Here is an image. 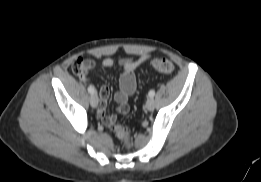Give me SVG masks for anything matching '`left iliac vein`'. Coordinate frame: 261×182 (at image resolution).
<instances>
[{"label":"left iliac vein","mask_w":261,"mask_h":182,"mask_svg":"<svg viewBox=\"0 0 261 182\" xmlns=\"http://www.w3.org/2000/svg\"><path fill=\"white\" fill-rule=\"evenodd\" d=\"M145 108H146L148 111L154 110V108H155V102H154V99H153V98H149V99L146 101Z\"/></svg>","instance_id":"left-iliac-vein-1"}]
</instances>
